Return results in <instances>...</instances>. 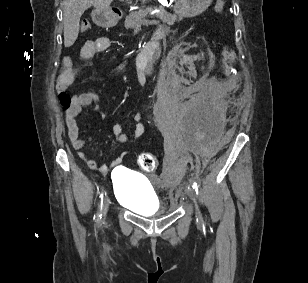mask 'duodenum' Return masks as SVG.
<instances>
[{"instance_id": "duodenum-1", "label": "duodenum", "mask_w": 308, "mask_h": 283, "mask_svg": "<svg viewBox=\"0 0 308 283\" xmlns=\"http://www.w3.org/2000/svg\"><path fill=\"white\" fill-rule=\"evenodd\" d=\"M123 16V13L118 8H111L101 14L97 21L102 26H108L111 25L114 22L119 21ZM161 43V40L159 38H150L147 44H144L143 49L140 51V55H138L137 60L138 62H141V68L146 67L147 62L152 61V57H155V50L157 49V46Z\"/></svg>"}]
</instances>
